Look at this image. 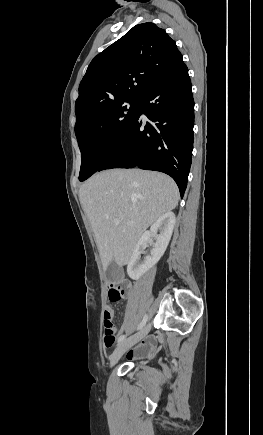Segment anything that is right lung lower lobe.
Segmentation results:
<instances>
[{
	"label": "right lung lower lobe",
	"mask_w": 263,
	"mask_h": 435,
	"mask_svg": "<svg viewBox=\"0 0 263 435\" xmlns=\"http://www.w3.org/2000/svg\"><path fill=\"white\" fill-rule=\"evenodd\" d=\"M183 63L141 99L129 131L98 169L139 167L170 175L183 197L193 150L194 100ZM147 118V120L144 118Z\"/></svg>",
	"instance_id": "98d812e1"
}]
</instances>
